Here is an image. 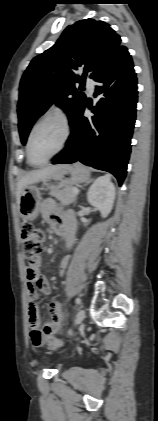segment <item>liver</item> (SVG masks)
Listing matches in <instances>:
<instances>
[{"mask_svg": "<svg viewBox=\"0 0 158 421\" xmlns=\"http://www.w3.org/2000/svg\"><path fill=\"white\" fill-rule=\"evenodd\" d=\"M64 165H49L44 168L31 171L27 174H25L18 182L17 184V203L19 204L20 196L22 193V190L29 184L37 183L39 181H43L45 178L50 176L53 172L60 169Z\"/></svg>", "mask_w": 158, "mask_h": 421, "instance_id": "liver-1", "label": "liver"}]
</instances>
